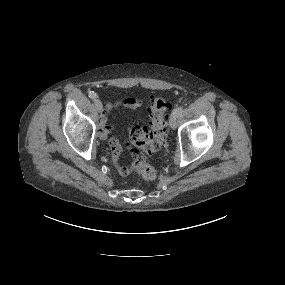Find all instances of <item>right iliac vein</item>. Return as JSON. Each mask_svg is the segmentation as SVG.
<instances>
[{
  "label": "right iliac vein",
  "mask_w": 285,
  "mask_h": 285,
  "mask_svg": "<svg viewBox=\"0 0 285 285\" xmlns=\"http://www.w3.org/2000/svg\"><path fill=\"white\" fill-rule=\"evenodd\" d=\"M94 104H95V107L97 108V110L99 112H102V110H103L102 102L99 99H95Z\"/></svg>",
  "instance_id": "63e3f726"
}]
</instances>
